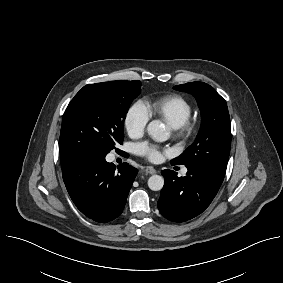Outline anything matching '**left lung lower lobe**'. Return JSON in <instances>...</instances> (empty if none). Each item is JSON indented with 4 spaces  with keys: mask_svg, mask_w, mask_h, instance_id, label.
Wrapping results in <instances>:
<instances>
[{
    "mask_svg": "<svg viewBox=\"0 0 283 283\" xmlns=\"http://www.w3.org/2000/svg\"><path fill=\"white\" fill-rule=\"evenodd\" d=\"M164 186L158 201L160 213L170 221L184 222L202 213L216 196L222 181L194 168L186 176L163 170Z\"/></svg>",
    "mask_w": 283,
    "mask_h": 283,
    "instance_id": "0a47b994",
    "label": "left lung lower lobe"
}]
</instances>
